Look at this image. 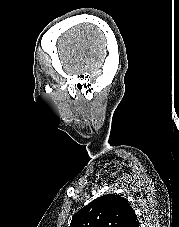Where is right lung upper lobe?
<instances>
[{"label":"right lung upper lobe","instance_id":"right-lung-upper-lobe-1","mask_svg":"<svg viewBox=\"0 0 179 227\" xmlns=\"http://www.w3.org/2000/svg\"><path fill=\"white\" fill-rule=\"evenodd\" d=\"M70 227H140V224L125 198L106 194L74 214Z\"/></svg>","mask_w":179,"mask_h":227}]
</instances>
